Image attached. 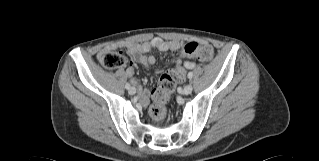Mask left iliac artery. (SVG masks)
I'll list each match as a JSON object with an SVG mask.
<instances>
[{"instance_id": "44dca946", "label": "left iliac artery", "mask_w": 319, "mask_h": 161, "mask_svg": "<svg viewBox=\"0 0 319 161\" xmlns=\"http://www.w3.org/2000/svg\"><path fill=\"white\" fill-rule=\"evenodd\" d=\"M187 76L189 79H191L193 77V72H189Z\"/></svg>"}]
</instances>
